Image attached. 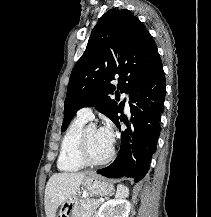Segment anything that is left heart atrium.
<instances>
[{"instance_id": "left-heart-atrium-1", "label": "left heart atrium", "mask_w": 211, "mask_h": 217, "mask_svg": "<svg viewBox=\"0 0 211 217\" xmlns=\"http://www.w3.org/2000/svg\"><path fill=\"white\" fill-rule=\"evenodd\" d=\"M100 135L103 137V139L112 146L113 144V130L112 127L107 124L104 127L99 129Z\"/></svg>"}]
</instances>
